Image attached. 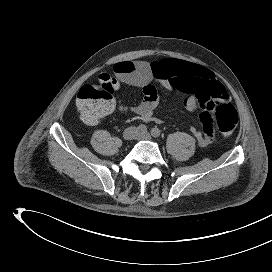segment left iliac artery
Segmentation results:
<instances>
[{
  "label": "left iliac artery",
  "instance_id": "obj_1",
  "mask_svg": "<svg viewBox=\"0 0 272 272\" xmlns=\"http://www.w3.org/2000/svg\"><path fill=\"white\" fill-rule=\"evenodd\" d=\"M160 134H161V130H160L159 128H157V127L152 128V130H151V135H152L153 137H159Z\"/></svg>",
  "mask_w": 272,
  "mask_h": 272
}]
</instances>
